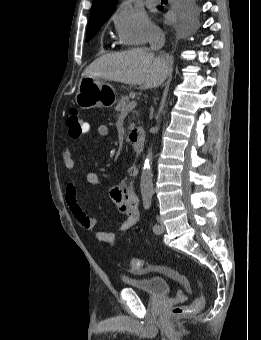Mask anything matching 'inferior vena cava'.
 <instances>
[{
    "mask_svg": "<svg viewBox=\"0 0 261 340\" xmlns=\"http://www.w3.org/2000/svg\"><path fill=\"white\" fill-rule=\"evenodd\" d=\"M165 35L160 29H154L149 38V44L151 50H159L164 46Z\"/></svg>",
    "mask_w": 261,
    "mask_h": 340,
    "instance_id": "inferior-vena-cava-1",
    "label": "inferior vena cava"
}]
</instances>
